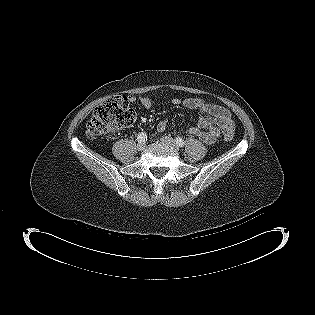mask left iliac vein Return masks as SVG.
Listing matches in <instances>:
<instances>
[{
  "label": "left iliac vein",
  "mask_w": 315,
  "mask_h": 315,
  "mask_svg": "<svg viewBox=\"0 0 315 315\" xmlns=\"http://www.w3.org/2000/svg\"><path fill=\"white\" fill-rule=\"evenodd\" d=\"M160 140H161L162 143H164L166 145H169L173 149L179 150L178 145L176 144V142L171 137H169V136H162L160 138Z\"/></svg>",
  "instance_id": "1"
}]
</instances>
